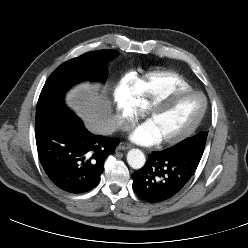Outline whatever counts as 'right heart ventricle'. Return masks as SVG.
Listing matches in <instances>:
<instances>
[{
    "instance_id": "e07e8e85",
    "label": "right heart ventricle",
    "mask_w": 248,
    "mask_h": 248,
    "mask_svg": "<svg viewBox=\"0 0 248 248\" xmlns=\"http://www.w3.org/2000/svg\"><path fill=\"white\" fill-rule=\"evenodd\" d=\"M136 96L143 109L157 98L178 89H192L189 82L173 71H154L142 77H131L126 85Z\"/></svg>"
}]
</instances>
